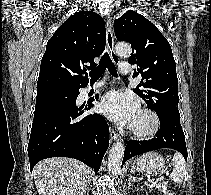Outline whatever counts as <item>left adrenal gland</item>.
<instances>
[{"label":"left adrenal gland","mask_w":211,"mask_h":195,"mask_svg":"<svg viewBox=\"0 0 211 195\" xmlns=\"http://www.w3.org/2000/svg\"><path fill=\"white\" fill-rule=\"evenodd\" d=\"M131 182H135V177H133L132 175H128V186H131Z\"/></svg>","instance_id":"a2214340"}]
</instances>
